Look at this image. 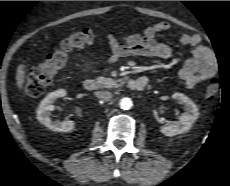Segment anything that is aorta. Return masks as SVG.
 Listing matches in <instances>:
<instances>
[{"instance_id": "aorta-1", "label": "aorta", "mask_w": 230, "mask_h": 186, "mask_svg": "<svg viewBox=\"0 0 230 186\" xmlns=\"http://www.w3.org/2000/svg\"><path fill=\"white\" fill-rule=\"evenodd\" d=\"M120 107L124 110H129L132 107V100L128 97H124L120 100Z\"/></svg>"}]
</instances>
